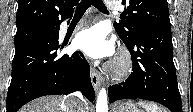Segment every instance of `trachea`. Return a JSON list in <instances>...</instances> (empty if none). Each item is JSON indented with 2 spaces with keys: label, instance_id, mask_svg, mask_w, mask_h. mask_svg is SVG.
I'll return each instance as SVG.
<instances>
[{
  "label": "trachea",
  "instance_id": "3493384b",
  "mask_svg": "<svg viewBox=\"0 0 193 112\" xmlns=\"http://www.w3.org/2000/svg\"><path fill=\"white\" fill-rule=\"evenodd\" d=\"M90 5L95 6L97 9H99L103 13H109L102 0H83L77 6L75 13L76 14L84 13Z\"/></svg>",
  "mask_w": 193,
  "mask_h": 112
}]
</instances>
